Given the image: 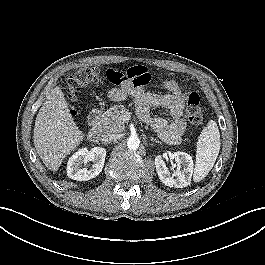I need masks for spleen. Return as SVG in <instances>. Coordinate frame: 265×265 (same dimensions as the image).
Here are the masks:
<instances>
[{"mask_svg": "<svg viewBox=\"0 0 265 265\" xmlns=\"http://www.w3.org/2000/svg\"><path fill=\"white\" fill-rule=\"evenodd\" d=\"M221 140L217 123L210 120L197 141L194 182L203 180L213 168L220 150Z\"/></svg>", "mask_w": 265, "mask_h": 265, "instance_id": "1", "label": "spleen"}]
</instances>
